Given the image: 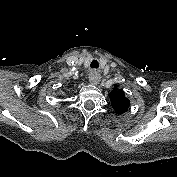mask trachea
<instances>
[{
    "instance_id": "1",
    "label": "trachea",
    "mask_w": 177,
    "mask_h": 177,
    "mask_svg": "<svg viewBox=\"0 0 177 177\" xmlns=\"http://www.w3.org/2000/svg\"><path fill=\"white\" fill-rule=\"evenodd\" d=\"M98 66H99V64H98L97 60H93L91 62V68H98Z\"/></svg>"
}]
</instances>
